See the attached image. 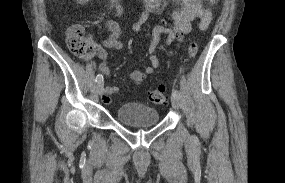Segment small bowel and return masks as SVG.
<instances>
[{
	"label": "small bowel",
	"mask_w": 285,
	"mask_h": 183,
	"mask_svg": "<svg viewBox=\"0 0 285 183\" xmlns=\"http://www.w3.org/2000/svg\"><path fill=\"white\" fill-rule=\"evenodd\" d=\"M216 0H145L146 9L142 20L146 19L149 14L160 16L159 23L153 28L152 41L148 47L147 54L149 63L143 67L142 71L135 70L131 73V77L138 83L142 82L145 75L152 74L160 65V61L155 55V50L159 44L161 35L166 36V46H170L172 42H185L186 36L192 30V22L199 19V28L205 30L211 23L212 12L208 5L213 4ZM173 5L172 9H168V5ZM116 14H120L121 9L118 4H114ZM106 28L109 32L108 38L103 45L94 44L92 52L86 57L92 60L97 57L101 61L99 69L109 75V69L106 65L107 52L106 48L122 49L123 43L119 39V26L113 20L106 21ZM140 29V24L134 26V31ZM119 88L115 85H108L104 88L102 101L105 104L111 102V96L118 93Z\"/></svg>",
	"instance_id": "c3829d8e"
}]
</instances>
